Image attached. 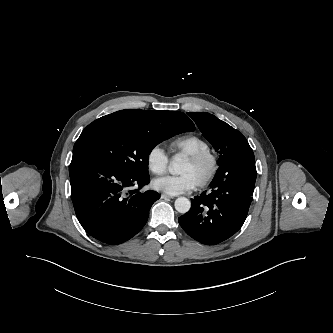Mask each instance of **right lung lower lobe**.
I'll return each mask as SVG.
<instances>
[{
  "label": "right lung lower lobe",
  "instance_id": "obj_1",
  "mask_svg": "<svg viewBox=\"0 0 333 333\" xmlns=\"http://www.w3.org/2000/svg\"><path fill=\"white\" fill-rule=\"evenodd\" d=\"M69 174L80 224L89 235L107 244H120L136 235L159 199L155 191H139L150 182L149 175L127 174L87 152L73 153Z\"/></svg>",
  "mask_w": 333,
  "mask_h": 333
}]
</instances>
